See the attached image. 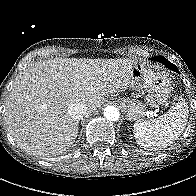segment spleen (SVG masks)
Listing matches in <instances>:
<instances>
[{
  "label": "spleen",
  "mask_w": 196,
  "mask_h": 196,
  "mask_svg": "<svg viewBox=\"0 0 196 196\" xmlns=\"http://www.w3.org/2000/svg\"><path fill=\"white\" fill-rule=\"evenodd\" d=\"M187 120L188 105L180 99L164 115L153 120L137 121L133 125L135 138L145 149L165 148L181 135Z\"/></svg>",
  "instance_id": "obj_1"
}]
</instances>
